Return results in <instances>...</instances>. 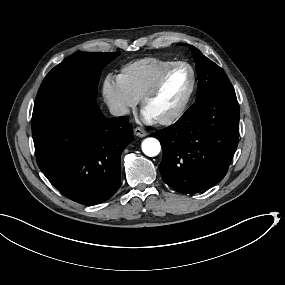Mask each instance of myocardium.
Returning <instances> with one entry per match:
<instances>
[{"label":"myocardium","mask_w":285,"mask_h":285,"mask_svg":"<svg viewBox=\"0 0 285 285\" xmlns=\"http://www.w3.org/2000/svg\"><path fill=\"white\" fill-rule=\"evenodd\" d=\"M184 70H186V68H184L182 66L170 67L169 69H167L158 78V80L155 82V84L152 87H150L147 91H145L144 94L140 97L141 109L144 110V108H145L146 104L149 102V100L161 90V88L163 87L165 82L173 74L178 73V72L184 73ZM189 74L191 76V81H190L188 92H187L182 104L173 112H170L168 114H165L162 117L157 118L156 120L159 123H161V124L172 123V122L176 121L177 119H179L184 114V112L187 110V108L191 102L193 91L195 88V76H194V73L191 69H189Z\"/></svg>","instance_id":"f54148a6"}]
</instances>
